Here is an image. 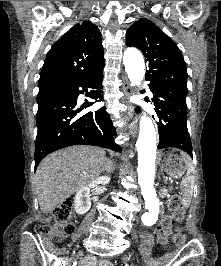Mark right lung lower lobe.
<instances>
[{"mask_svg":"<svg viewBox=\"0 0 221 266\" xmlns=\"http://www.w3.org/2000/svg\"><path fill=\"white\" fill-rule=\"evenodd\" d=\"M102 80L103 68L38 104L35 170L49 153L71 145L85 144L120 150L114 142L116 131L105 108L82 114V110L94 102L82 106L77 104L79 94L87 88L95 89L91 92V98L101 101ZM80 87L83 90H79Z\"/></svg>","mask_w":221,"mask_h":266,"instance_id":"right-lung-lower-lobe-1","label":"right lung lower lobe"}]
</instances>
